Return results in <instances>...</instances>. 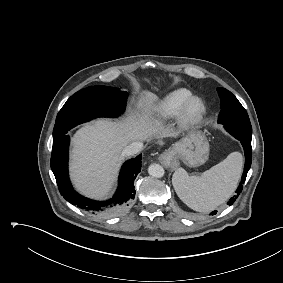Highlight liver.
<instances>
[{
	"instance_id": "6515ba94",
	"label": "liver",
	"mask_w": 283,
	"mask_h": 283,
	"mask_svg": "<svg viewBox=\"0 0 283 283\" xmlns=\"http://www.w3.org/2000/svg\"><path fill=\"white\" fill-rule=\"evenodd\" d=\"M157 97L144 91L138 106L142 115L133 112L124 120L98 119L81 127L72 137L71 178L76 189L91 198H104L112 190L123 156L132 142H143L152 136L169 137L172 132L150 119L149 109Z\"/></svg>"
}]
</instances>
